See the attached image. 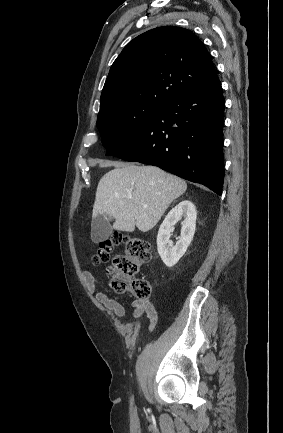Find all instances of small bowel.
Masks as SVG:
<instances>
[{
	"mask_svg": "<svg viewBox=\"0 0 283 433\" xmlns=\"http://www.w3.org/2000/svg\"><path fill=\"white\" fill-rule=\"evenodd\" d=\"M83 279L88 291L95 296L96 300L106 309L110 310L115 317L123 318L125 315L124 306L117 300L111 299L107 294L99 290V279L89 271L83 272ZM133 317L137 325H140L144 315L149 319V328L154 330L157 324L158 315L155 307L148 299H135L131 302Z\"/></svg>",
	"mask_w": 283,
	"mask_h": 433,
	"instance_id": "small-bowel-1",
	"label": "small bowel"
}]
</instances>
